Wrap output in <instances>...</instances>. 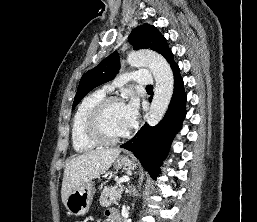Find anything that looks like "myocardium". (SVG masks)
I'll list each match as a JSON object with an SVG mask.
<instances>
[{"instance_id":"myocardium-1","label":"myocardium","mask_w":257,"mask_h":222,"mask_svg":"<svg viewBox=\"0 0 257 222\" xmlns=\"http://www.w3.org/2000/svg\"><path fill=\"white\" fill-rule=\"evenodd\" d=\"M117 104L123 105V101L118 97H105L90 110L86 118L85 131L89 138L98 145H115L128 136L125 133L122 136L112 138L106 136L102 130V118L105 112Z\"/></svg>"}]
</instances>
